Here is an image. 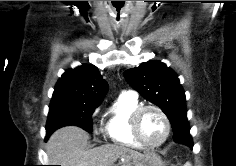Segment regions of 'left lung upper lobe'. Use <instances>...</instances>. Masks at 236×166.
Listing matches in <instances>:
<instances>
[{"label": "left lung upper lobe", "instance_id": "left-lung-upper-lobe-1", "mask_svg": "<svg viewBox=\"0 0 236 166\" xmlns=\"http://www.w3.org/2000/svg\"><path fill=\"white\" fill-rule=\"evenodd\" d=\"M124 76L146 100L159 106L170 122L182 121L189 127L185 92L172 69L160 61H148L126 70Z\"/></svg>", "mask_w": 236, "mask_h": 166}]
</instances>
